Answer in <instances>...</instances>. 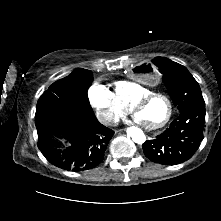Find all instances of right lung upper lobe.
Returning a JSON list of instances; mask_svg holds the SVG:
<instances>
[{"instance_id": "1", "label": "right lung upper lobe", "mask_w": 221, "mask_h": 221, "mask_svg": "<svg viewBox=\"0 0 221 221\" xmlns=\"http://www.w3.org/2000/svg\"><path fill=\"white\" fill-rule=\"evenodd\" d=\"M78 69H79V68L75 69V70L73 71V73H75Z\"/></svg>"}]
</instances>
